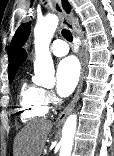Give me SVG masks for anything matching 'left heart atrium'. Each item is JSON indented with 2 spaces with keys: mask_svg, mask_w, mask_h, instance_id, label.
I'll use <instances>...</instances> for the list:
<instances>
[{
  "mask_svg": "<svg viewBox=\"0 0 114 156\" xmlns=\"http://www.w3.org/2000/svg\"><path fill=\"white\" fill-rule=\"evenodd\" d=\"M80 76V66L77 59L68 56L62 59L56 72V90L59 95L65 97L75 89Z\"/></svg>",
  "mask_w": 114,
  "mask_h": 156,
  "instance_id": "left-heart-atrium-1",
  "label": "left heart atrium"
}]
</instances>
